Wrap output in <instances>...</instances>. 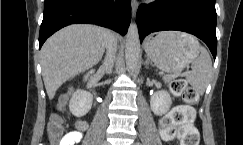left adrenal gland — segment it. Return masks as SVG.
I'll list each match as a JSON object with an SVG mask.
<instances>
[{"label":"left adrenal gland","instance_id":"obj_1","mask_svg":"<svg viewBox=\"0 0 243 145\" xmlns=\"http://www.w3.org/2000/svg\"><path fill=\"white\" fill-rule=\"evenodd\" d=\"M144 64H145L146 66L149 65V64L152 65V62H151V61L149 60V58L147 57V58H146V61H145Z\"/></svg>","mask_w":243,"mask_h":145}]
</instances>
